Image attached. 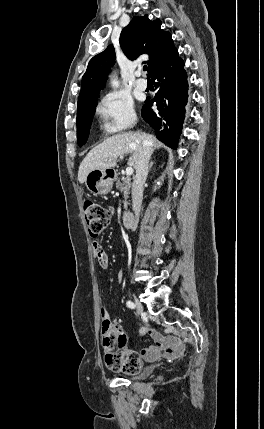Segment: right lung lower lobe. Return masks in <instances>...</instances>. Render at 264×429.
<instances>
[{
    "label": "right lung lower lobe",
    "instance_id": "98d812e1",
    "mask_svg": "<svg viewBox=\"0 0 264 429\" xmlns=\"http://www.w3.org/2000/svg\"><path fill=\"white\" fill-rule=\"evenodd\" d=\"M150 76L157 81L155 87L158 91L154 100L147 99L142 117L155 130L160 141L176 149L188 98L187 74L177 49ZM153 102H156V111L151 109Z\"/></svg>",
    "mask_w": 264,
    "mask_h": 429
}]
</instances>
